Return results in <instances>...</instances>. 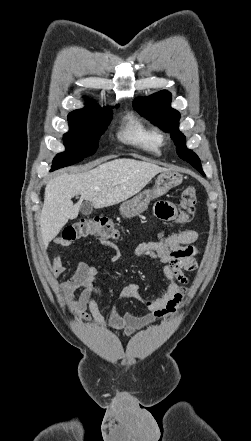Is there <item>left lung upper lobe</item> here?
Listing matches in <instances>:
<instances>
[{"mask_svg":"<svg viewBox=\"0 0 251 441\" xmlns=\"http://www.w3.org/2000/svg\"><path fill=\"white\" fill-rule=\"evenodd\" d=\"M171 94L160 91L147 98H137L133 101L134 109L142 116L148 118L154 125L171 134L177 154L183 160L189 162L202 175H205L201 168L200 159L186 147L185 136L179 131L180 114L171 108Z\"/></svg>","mask_w":251,"mask_h":441,"instance_id":"1","label":"left lung upper lobe"}]
</instances>
